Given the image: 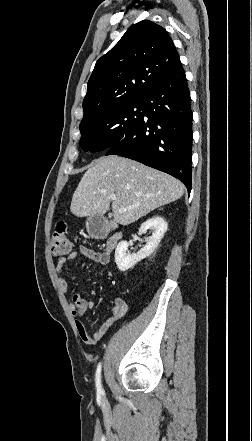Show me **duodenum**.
<instances>
[{
    "mask_svg": "<svg viewBox=\"0 0 252 441\" xmlns=\"http://www.w3.org/2000/svg\"><path fill=\"white\" fill-rule=\"evenodd\" d=\"M89 227H90V235L96 239H103L109 233L108 225H106L105 223H103L98 219H92L89 223ZM121 237H122L121 233H115L108 239L106 244L107 254H109L111 251H113L116 248Z\"/></svg>",
    "mask_w": 252,
    "mask_h": 441,
    "instance_id": "obj_1",
    "label": "duodenum"
}]
</instances>
